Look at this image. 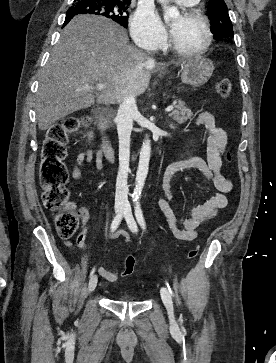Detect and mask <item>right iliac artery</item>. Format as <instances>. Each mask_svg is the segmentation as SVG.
I'll return each instance as SVG.
<instances>
[{"instance_id":"obj_1","label":"right iliac artery","mask_w":276,"mask_h":363,"mask_svg":"<svg viewBox=\"0 0 276 363\" xmlns=\"http://www.w3.org/2000/svg\"><path fill=\"white\" fill-rule=\"evenodd\" d=\"M128 208H130V204H128V205L126 206L125 211H126ZM125 211H124V212L119 213V214H118V215L114 218V220L112 221V224H111V231H112V232H114V231L117 229V227L119 226V224H120V222H121V220H122V217H123V214L125 213ZM94 272H95V268H93V269H92V271L90 272V278L93 276Z\"/></svg>"}]
</instances>
